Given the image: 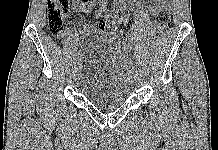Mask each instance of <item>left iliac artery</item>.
<instances>
[{
	"mask_svg": "<svg viewBox=\"0 0 218 150\" xmlns=\"http://www.w3.org/2000/svg\"><path fill=\"white\" fill-rule=\"evenodd\" d=\"M129 73H130V74H134V73H135V70H134V69H130V70H129Z\"/></svg>",
	"mask_w": 218,
	"mask_h": 150,
	"instance_id": "obj_1",
	"label": "left iliac artery"
}]
</instances>
